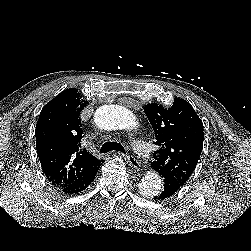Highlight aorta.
<instances>
[{"instance_id": "1", "label": "aorta", "mask_w": 251, "mask_h": 251, "mask_svg": "<svg viewBox=\"0 0 251 251\" xmlns=\"http://www.w3.org/2000/svg\"><path fill=\"white\" fill-rule=\"evenodd\" d=\"M98 127L105 130H134L137 121L133 113L119 105H104L99 107L94 116ZM139 192L146 198H153L162 189L161 179L155 172L148 171L138 185Z\"/></svg>"}]
</instances>
